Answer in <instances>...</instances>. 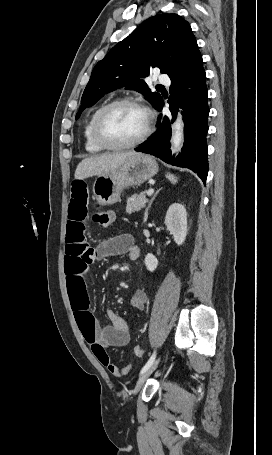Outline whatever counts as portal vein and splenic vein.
<instances>
[{
	"mask_svg": "<svg viewBox=\"0 0 272 455\" xmlns=\"http://www.w3.org/2000/svg\"><path fill=\"white\" fill-rule=\"evenodd\" d=\"M154 192V189L153 188H149L148 191H147V195L148 196H151Z\"/></svg>",
	"mask_w": 272,
	"mask_h": 455,
	"instance_id": "portal-vein-and-splenic-vein-1",
	"label": "portal vein and splenic vein"
}]
</instances>
